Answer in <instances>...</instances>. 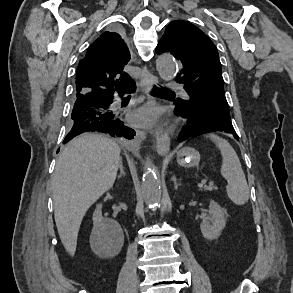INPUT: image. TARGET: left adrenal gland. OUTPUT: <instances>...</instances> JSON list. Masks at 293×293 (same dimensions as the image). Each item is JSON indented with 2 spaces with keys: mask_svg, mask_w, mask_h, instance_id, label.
Segmentation results:
<instances>
[{
  "mask_svg": "<svg viewBox=\"0 0 293 293\" xmlns=\"http://www.w3.org/2000/svg\"><path fill=\"white\" fill-rule=\"evenodd\" d=\"M172 181H173V183H174V189L177 190V189H178V186H179L180 184L177 183V180H176V177H175V176H173Z\"/></svg>",
  "mask_w": 293,
  "mask_h": 293,
  "instance_id": "a2214340",
  "label": "left adrenal gland"
}]
</instances>
